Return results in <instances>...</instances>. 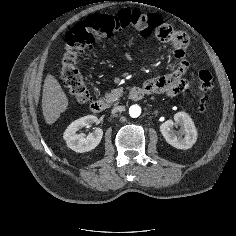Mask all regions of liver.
Returning a JSON list of instances; mask_svg holds the SVG:
<instances>
[{
  "label": "liver",
  "mask_w": 236,
  "mask_h": 236,
  "mask_svg": "<svg viewBox=\"0 0 236 236\" xmlns=\"http://www.w3.org/2000/svg\"><path fill=\"white\" fill-rule=\"evenodd\" d=\"M68 107V98L57 79L48 74L44 80L42 95L43 116L47 124L57 121Z\"/></svg>",
  "instance_id": "liver-1"
}]
</instances>
